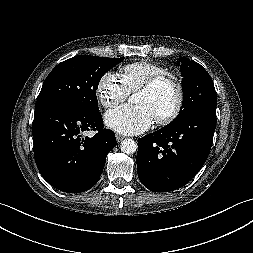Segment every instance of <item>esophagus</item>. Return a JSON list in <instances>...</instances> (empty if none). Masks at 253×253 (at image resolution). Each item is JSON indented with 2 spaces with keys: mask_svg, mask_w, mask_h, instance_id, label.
Masks as SVG:
<instances>
[{
  "mask_svg": "<svg viewBox=\"0 0 253 253\" xmlns=\"http://www.w3.org/2000/svg\"><path fill=\"white\" fill-rule=\"evenodd\" d=\"M124 137L120 134H116V140L117 142H120Z\"/></svg>",
  "mask_w": 253,
  "mask_h": 253,
  "instance_id": "esophagus-1",
  "label": "esophagus"
}]
</instances>
